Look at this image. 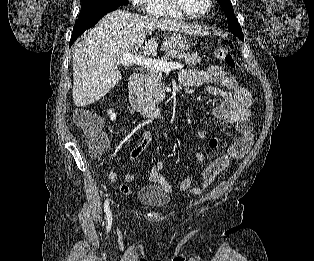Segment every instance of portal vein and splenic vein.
I'll return each instance as SVG.
<instances>
[{"label":"portal vein and splenic vein","instance_id":"portal-vein-and-splenic-vein-1","mask_svg":"<svg viewBox=\"0 0 314 261\" xmlns=\"http://www.w3.org/2000/svg\"><path fill=\"white\" fill-rule=\"evenodd\" d=\"M119 64L126 67L130 64L138 65L145 68L157 69L164 72H170L172 69H182L183 65L175 62H167L164 60H157L146 58L133 53L123 55L118 61Z\"/></svg>","mask_w":314,"mask_h":261}]
</instances>
